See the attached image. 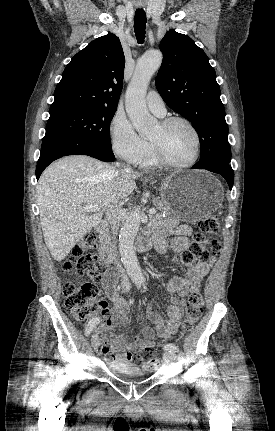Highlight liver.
Here are the masks:
<instances>
[{
  "instance_id": "6515ba94",
  "label": "liver",
  "mask_w": 275,
  "mask_h": 431,
  "mask_svg": "<svg viewBox=\"0 0 275 431\" xmlns=\"http://www.w3.org/2000/svg\"><path fill=\"white\" fill-rule=\"evenodd\" d=\"M142 174L118 170L85 155L52 163L37 184L44 241L56 261L63 260L81 238L96 227L103 212L128 197ZM97 204L89 215L83 207Z\"/></svg>"
}]
</instances>
